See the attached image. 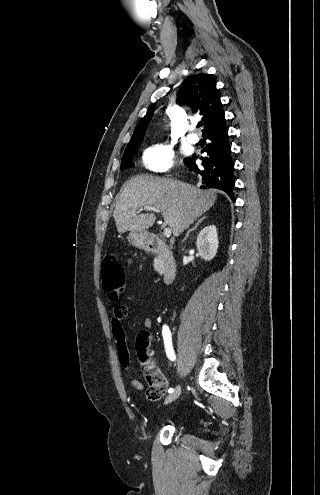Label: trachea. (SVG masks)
Listing matches in <instances>:
<instances>
[{"instance_id": "obj_1", "label": "trachea", "mask_w": 320, "mask_h": 495, "mask_svg": "<svg viewBox=\"0 0 320 495\" xmlns=\"http://www.w3.org/2000/svg\"><path fill=\"white\" fill-rule=\"evenodd\" d=\"M201 126H202V123H198L197 127L199 128V127H201Z\"/></svg>"}]
</instances>
